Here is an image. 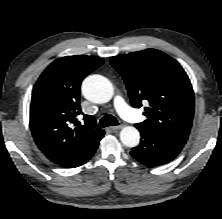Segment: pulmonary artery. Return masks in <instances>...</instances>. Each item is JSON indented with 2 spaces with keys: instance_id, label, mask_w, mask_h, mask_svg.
<instances>
[{
  "instance_id": "e3ab8cb5",
  "label": "pulmonary artery",
  "mask_w": 222,
  "mask_h": 219,
  "mask_svg": "<svg viewBox=\"0 0 222 219\" xmlns=\"http://www.w3.org/2000/svg\"><path fill=\"white\" fill-rule=\"evenodd\" d=\"M116 110L126 120L134 123L142 121L143 117L129 107L121 97H116L114 101Z\"/></svg>"
}]
</instances>
